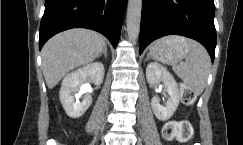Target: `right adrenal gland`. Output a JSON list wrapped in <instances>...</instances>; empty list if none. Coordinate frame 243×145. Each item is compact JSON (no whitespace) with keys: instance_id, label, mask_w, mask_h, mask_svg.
I'll use <instances>...</instances> for the list:
<instances>
[{"instance_id":"obj_1","label":"right adrenal gland","mask_w":243,"mask_h":145,"mask_svg":"<svg viewBox=\"0 0 243 145\" xmlns=\"http://www.w3.org/2000/svg\"><path fill=\"white\" fill-rule=\"evenodd\" d=\"M102 55H104V57L107 58V46H105L103 52L98 56V58L101 57Z\"/></svg>"}]
</instances>
